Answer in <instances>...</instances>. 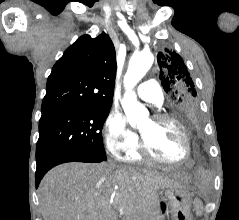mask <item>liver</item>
<instances>
[{"mask_svg": "<svg viewBox=\"0 0 239 220\" xmlns=\"http://www.w3.org/2000/svg\"><path fill=\"white\" fill-rule=\"evenodd\" d=\"M181 175L114 163H65L50 170L39 185L44 220H151L157 214L158 191L183 187Z\"/></svg>", "mask_w": 239, "mask_h": 220, "instance_id": "obj_1", "label": "liver"}]
</instances>
